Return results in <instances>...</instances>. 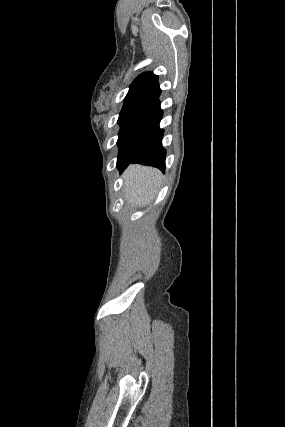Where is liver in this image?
I'll list each match as a JSON object with an SVG mask.
<instances>
[{
  "mask_svg": "<svg viewBox=\"0 0 285 427\" xmlns=\"http://www.w3.org/2000/svg\"><path fill=\"white\" fill-rule=\"evenodd\" d=\"M162 173L155 168L130 165L124 172V196L131 206L150 204L161 185Z\"/></svg>",
  "mask_w": 285,
  "mask_h": 427,
  "instance_id": "6515ba94",
  "label": "liver"
}]
</instances>
